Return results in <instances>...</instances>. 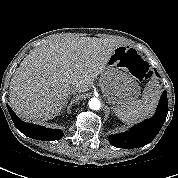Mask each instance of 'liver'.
Listing matches in <instances>:
<instances>
[{
  "mask_svg": "<svg viewBox=\"0 0 178 178\" xmlns=\"http://www.w3.org/2000/svg\"><path fill=\"white\" fill-rule=\"evenodd\" d=\"M122 43L94 37L49 39L32 50L12 76L9 99L24 120L60 114L72 90L88 91Z\"/></svg>",
  "mask_w": 178,
  "mask_h": 178,
  "instance_id": "6515ba94",
  "label": "liver"
}]
</instances>
